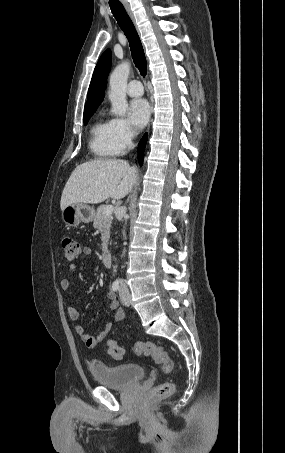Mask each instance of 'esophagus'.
I'll list each match as a JSON object with an SVG mask.
<instances>
[{"mask_svg": "<svg viewBox=\"0 0 285 453\" xmlns=\"http://www.w3.org/2000/svg\"><path fill=\"white\" fill-rule=\"evenodd\" d=\"M121 1H122V3H123V5H124V7H125V9H126V11H127V13H128L129 16L133 19V15H132V13H131L130 7H129V5L127 4L126 0H121ZM148 129H149V127H148Z\"/></svg>", "mask_w": 285, "mask_h": 453, "instance_id": "1", "label": "esophagus"}]
</instances>
